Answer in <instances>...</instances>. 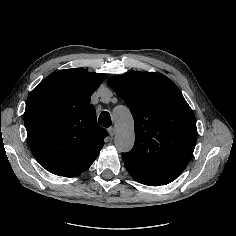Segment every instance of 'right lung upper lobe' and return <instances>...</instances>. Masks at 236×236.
Wrapping results in <instances>:
<instances>
[{
    "label": "right lung upper lobe",
    "instance_id": "cb5924a9",
    "mask_svg": "<svg viewBox=\"0 0 236 236\" xmlns=\"http://www.w3.org/2000/svg\"><path fill=\"white\" fill-rule=\"evenodd\" d=\"M105 77L82 68L60 70L29 94L24 113L27 139L47 171L75 177L99 155L108 133L97 124L90 99Z\"/></svg>",
    "mask_w": 236,
    "mask_h": 236
}]
</instances>
